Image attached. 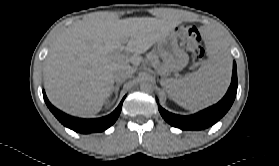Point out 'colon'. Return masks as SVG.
<instances>
[{
  "label": "colon",
  "mask_w": 279,
  "mask_h": 166,
  "mask_svg": "<svg viewBox=\"0 0 279 166\" xmlns=\"http://www.w3.org/2000/svg\"><path fill=\"white\" fill-rule=\"evenodd\" d=\"M177 35L181 47L189 51L196 62H201L204 57V48L197 27L182 25L178 28Z\"/></svg>",
  "instance_id": "colon-1"
}]
</instances>
